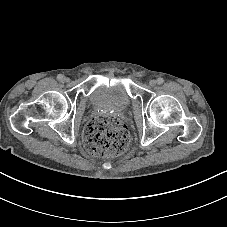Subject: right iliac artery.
<instances>
[{
  "instance_id": "right-iliac-artery-1",
  "label": "right iliac artery",
  "mask_w": 227,
  "mask_h": 227,
  "mask_svg": "<svg viewBox=\"0 0 227 227\" xmlns=\"http://www.w3.org/2000/svg\"><path fill=\"white\" fill-rule=\"evenodd\" d=\"M63 78H64V76H63L62 74H59V75L57 76V80H59V81H62Z\"/></svg>"
}]
</instances>
